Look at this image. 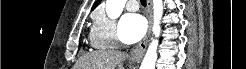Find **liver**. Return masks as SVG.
Here are the masks:
<instances>
[{
    "instance_id": "1",
    "label": "liver",
    "mask_w": 246,
    "mask_h": 69,
    "mask_svg": "<svg viewBox=\"0 0 246 69\" xmlns=\"http://www.w3.org/2000/svg\"><path fill=\"white\" fill-rule=\"evenodd\" d=\"M126 55L121 51L99 50L82 56L76 69H115L125 61Z\"/></svg>"
}]
</instances>
